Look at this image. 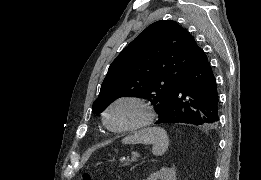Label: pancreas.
Masks as SVG:
<instances>
[{"mask_svg":"<svg viewBox=\"0 0 261 180\" xmlns=\"http://www.w3.org/2000/svg\"><path fill=\"white\" fill-rule=\"evenodd\" d=\"M131 163H135V162H131V159L127 158V159H123L122 162L119 163V166L120 167H128L129 164H131Z\"/></svg>","mask_w":261,"mask_h":180,"instance_id":"pancreas-1","label":"pancreas"}]
</instances>
